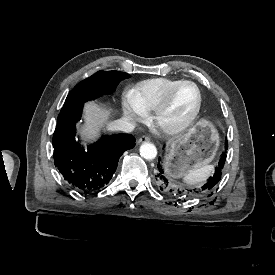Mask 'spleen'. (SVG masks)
I'll use <instances>...</instances> for the list:
<instances>
[{
  "label": "spleen",
  "instance_id": "spleen-1",
  "mask_svg": "<svg viewBox=\"0 0 275 275\" xmlns=\"http://www.w3.org/2000/svg\"><path fill=\"white\" fill-rule=\"evenodd\" d=\"M214 172V165H205L199 169L190 170L189 173L184 176L183 182L191 186L200 183H205L207 179L214 174Z\"/></svg>",
  "mask_w": 275,
  "mask_h": 275
}]
</instances>
